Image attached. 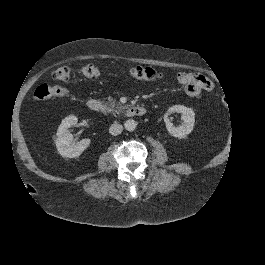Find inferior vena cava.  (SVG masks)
<instances>
[{
    "instance_id": "1",
    "label": "inferior vena cava",
    "mask_w": 265,
    "mask_h": 265,
    "mask_svg": "<svg viewBox=\"0 0 265 265\" xmlns=\"http://www.w3.org/2000/svg\"><path fill=\"white\" fill-rule=\"evenodd\" d=\"M123 130V126L120 125L119 123L115 122L113 123L110 128H109V132L112 134V135H119L121 134Z\"/></svg>"
}]
</instances>
